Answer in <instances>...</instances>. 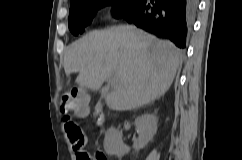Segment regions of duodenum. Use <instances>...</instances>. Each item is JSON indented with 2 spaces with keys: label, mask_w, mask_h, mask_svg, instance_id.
I'll list each match as a JSON object with an SVG mask.
<instances>
[{
  "label": "duodenum",
  "mask_w": 242,
  "mask_h": 160,
  "mask_svg": "<svg viewBox=\"0 0 242 160\" xmlns=\"http://www.w3.org/2000/svg\"><path fill=\"white\" fill-rule=\"evenodd\" d=\"M94 118L97 123H101L104 120V109L101 104H98L94 111Z\"/></svg>",
  "instance_id": "duodenum-1"
}]
</instances>
